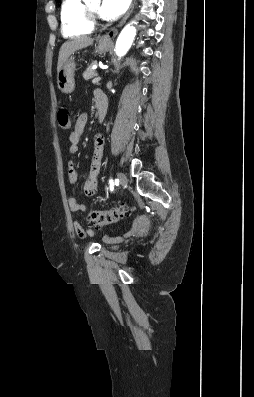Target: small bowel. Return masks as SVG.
<instances>
[{"instance_id": "c3829d8e", "label": "small bowel", "mask_w": 254, "mask_h": 397, "mask_svg": "<svg viewBox=\"0 0 254 397\" xmlns=\"http://www.w3.org/2000/svg\"><path fill=\"white\" fill-rule=\"evenodd\" d=\"M101 94L102 92L100 90L95 91V101L97 100L98 96ZM87 122H88V115L86 113H81L77 117L75 121L74 129L69 135V142H70L69 153L73 156L76 155L79 151V142ZM104 145H105L104 136L102 134H97L94 137V151L91 160L90 170L88 173V178L83 187L84 193L87 196L94 195L99 188V173L101 169ZM68 179L71 185H75L78 181V173L76 171L75 162L73 159H71L68 164ZM68 204L72 212H83L86 211L87 209L86 206L80 203L74 196H69ZM141 224H142L141 220H136L133 224L132 229L128 233H126L125 236L135 233L139 229ZM73 228L77 236L80 238L91 237L95 233L93 229L90 228L85 229L77 220L73 222ZM120 239L121 237L108 238V240L111 241H117Z\"/></svg>"}]
</instances>
